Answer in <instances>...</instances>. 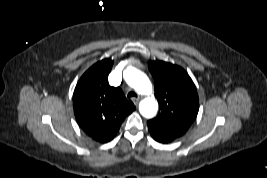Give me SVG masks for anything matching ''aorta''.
Returning <instances> with one entry per match:
<instances>
[{"mask_svg":"<svg viewBox=\"0 0 267 178\" xmlns=\"http://www.w3.org/2000/svg\"><path fill=\"white\" fill-rule=\"evenodd\" d=\"M124 78L128 85L134 88L139 94L150 95L152 93V84L149 78L136 68H128L124 72ZM158 103L153 96L144 98L139 104V111L142 116L152 118L156 115Z\"/></svg>","mask_w":267,"mask_h":178,"instance_id":"aorta-1","label":"aorta"}]
</instances>
